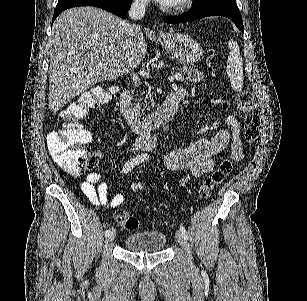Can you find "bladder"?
Listing matches in <instances>:
<instances>
[{"label":"bladder","mask_w":307,"mask_h":301,"mask_svg":"<svg viewBox=\"0 0 307 301\" xmlns=\"http://www.w3.org/2000/svg\"><path fill=\"white\" fill-rule=\"evenodd\" d=\"M166 244V234L161 231L134 232L124 240V246L127 250L142 253L162 251Z\"/></svg>","instance_id":"1"}]
</instances>
